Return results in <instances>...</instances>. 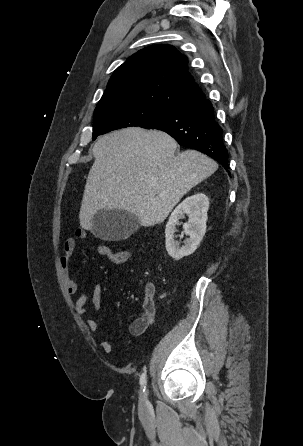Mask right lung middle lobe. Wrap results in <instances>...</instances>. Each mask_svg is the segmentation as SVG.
<instances>
[{
	"mask_svg": "<svg viewBox=\"0 0 303 446\" xmlns=\"http://www.w3.org/2000/svg\"><path fill=\"white\" fill-rule=\"evenodd\" d=\"M178 103L173 104L174 109L181 106ZM94 113L93 140L112 130L141 126L165 111L139 104H110L96 108Z\"/></svg>",
	"mask_w": 303,
	"mask_h": 446,
	"instance_id": "1",
	"label": "right lung middle lobe"
}]
</instances>
